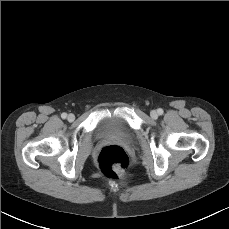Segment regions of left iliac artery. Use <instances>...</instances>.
Segmentation results:
<instances>
[{
	"label": "left iliac artery",
	"instance_id": "1",
	"mask_svg": "<svg viewBox=\"0 0 229 229\" xmlns=\"http://www.w3.org/2000/svg\"><path fill=\"white\" fill-rule=\"evenodd\" d=\"M157 113H158L159 115H162V114H163V109L159 108V109L157 110Z\"/></svg>",
	"mask_w": 229,
	"mask_h": 229
}]
</instances>
